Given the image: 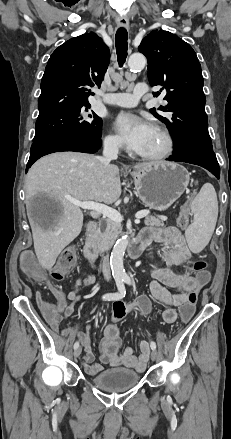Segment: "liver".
Here are the masks:
<instances>
[{"mask_svg": "<svg viewBox=\"0 0 231 439\" xmlns=\"http://www.w3.org/2000/svg\"><path fill=\"white\" fill-rule=\"evenodd\" d=\"M152 164L155 163L137 164L134 168L138 170ZM25 194L35 253L40 265L50 270L83 227V212L69 200L114 203L121 195L119 168L116 165L104 167L94 155L53 153L29 169ZM38 194L53 201L57 211L34 218L30 205Z\"/></svg>", "mask_w": 231, "mask_h": 439, "instance_id": "liver-1", "label": "liver"}]
</instances>
